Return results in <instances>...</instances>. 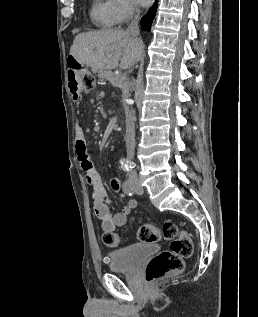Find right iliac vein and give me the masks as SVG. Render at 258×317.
Masks as SVG:
<instances>
[{
	"label": "right iliac vein",
	"mask_w": 258,
	"mask_h": 317,
	"mask_svg": "<svg viewBox=\"0 0 258 317\" xmlns=\"http://www.w3.org/2000/svg\"><path fill=\"white\" fill-rule=\"evenodd\" d=\"M134 184H138V181H134Z\"/></svg>",
	"instance_id": "1"
}]
</instances>
